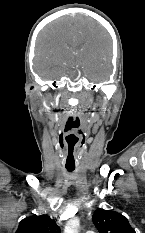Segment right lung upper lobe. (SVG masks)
Masks as SVG:
<instances>
[{
	"instance_id": "obj_1",
	"label": "right lung upper lobe",
	"mask_w": 145,
	"mask_h": 233,
	"mask_svg": "<svg viewBox=\"0 0 145 233\" xmlns=\"http://www.w3.org/2000/svg\"><path fill=\"white\" fill-rule=\"evenodd\" d=\"M16 233H61V230L49 216L34 215L23 219Z\"/></svg>"
}]
</instances>
